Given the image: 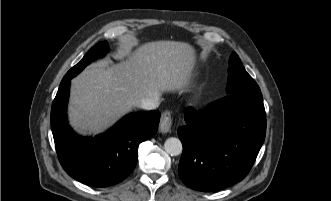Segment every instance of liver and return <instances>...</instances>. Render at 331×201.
<instances>
[{
    "instance_id": "liver-1",
    "label": "liver",
    "mask_w": 331,
    "mask_h": 201,
    "mask_svg": "<svg viewBox=\"0 0 331 201\" xmlns=\"http://www.w3.org/2000/svg\"><path fill=\"white\" fill-rule=\"evenodd\" d=\"M126 60L92 64L72 79L69 122L79 133H99L151 93L183 89L189 81L195 51L184 42L156 41L134 52L125 46Z\"/></svg>"
}]
</instances>
